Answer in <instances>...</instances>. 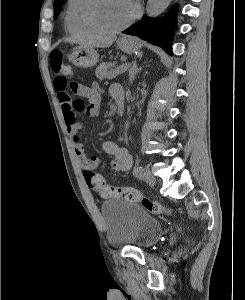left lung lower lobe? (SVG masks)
<instances>
[{"instance_id":"obj_1","label":"left lung lower lobe","mask_w":245,"mask_h":300,"mask_svg":"<svg viewBox=\"0 0 245 300\" xmlns=\"http://www.w3.org/2000/svg\"><path fill=\"white\" fill-rule=\"evenodd\" d=\"M178 5L174 4L169 12L161 18L143 17L140 23L131 26L122 33L138 36L147 42L162 47L169 55H172V34L176 28V15Z\"/></svg>"}]
</instances>
